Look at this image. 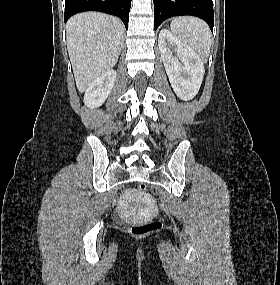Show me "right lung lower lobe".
<instances>
[{"label": "right lung lower lobe", "instance_id": "98d812e1", "mask_svg": "<svg viewBox=\"0 0 280 285\" xmlns=\"http://www.w3.org/2000/svg\"><path fill=\"white\" fill-rule=\"evenodd\" d=\"M131 0H66L65 22L74 14L84 11H101L118 16L128 27Z\"/></svg>", "mask_w": 280, "mask_h": 285}]
</instances>
